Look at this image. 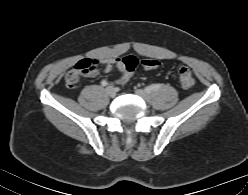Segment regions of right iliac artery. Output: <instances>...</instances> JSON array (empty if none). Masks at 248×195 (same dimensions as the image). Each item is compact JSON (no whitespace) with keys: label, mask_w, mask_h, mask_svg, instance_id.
<instances>
[{"label":"right iliac artery","mask_w":248,"mask_h":195,"mask_svg":"<svg viewBox=\"0 0 248 195\" xmlns=\"http://www.w3.org/2000/svg\"><path fill=\"white\" fill-rule=\"evenodd\" d=\"M108 83H107V81L106 80H103L102 82H101V85L102 86H106Z\"/></svg>","instance_id":"1"}]
</instances>
